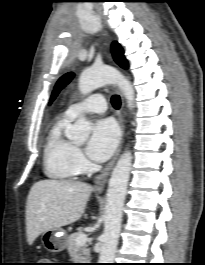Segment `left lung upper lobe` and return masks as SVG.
Wrapping results in <instances>:
<instances>
[{
	"mask_svg": "<svg viewBox=\"0 0 205 265\" xmlns=\"http://www.w3.org/2000/svg\"><path fill=\"white\" fill-rule=\"evenodd\" d=\"M112 53L114 60L116 63L121 66L124 69L128 68V63L127 60L124 57V52L122 47L117 43L114 42L112 44ZM74 77V73L69 72L65 75H63L56 83L54 90L52 92L51 98H50V103L56 98L58 93L60 92L61 89H63Z\"/></svg>",
	"mask_w": 205,
	"mask_h": 265,
	"instance_id": "obj_1",
	"label": "left lung upper lobe"
}]
</instances>
